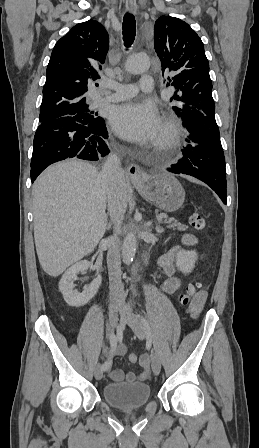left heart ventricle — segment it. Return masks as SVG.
Listing matches in <instances>:
<instances>
[{
	"instance_id": "obj_1",
	"label": "left heart ventricle",
	"mask_w": 259,
	"mask_h": 448,
	"mask_svg": "<svg viewBox=\"0 0 259 448\" xmlns=\"http://www.w3.org/2000/svg\"><path fill=\"white\" fill-rule=\"evenodd\" d=\"M162 134H163V130H162V128H161V130H160L158 136L155 138V144L161 139Z\"/></svg>"
}]
</instances>
